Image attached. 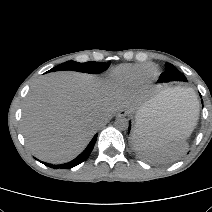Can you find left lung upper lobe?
I'll return each mask as SVG.
<instances>
[{
    "instance_id": "5c2ea615",
    "label": "left lung upper lobe",
    "mask_w": 212,
    "mask_h": 212,
    "mask_svg": "<svg viewBox=\"0 0 212 212\" xmlns=\"http://www.w3.org/2000/svg\"><path fill=\"white\" fill-rule=\"evenodd\" d=\"M166 71L163 72L159 79L158 83H168V82H174V81H186V78L183 74H181L176 67H174L172 64L166 63L165 64Z\"/></svg>"
}]
</instances>
